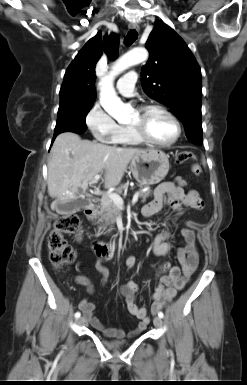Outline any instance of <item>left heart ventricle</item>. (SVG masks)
I'll return each instance as SVG.
<instances>
[{"label": "left heart ventricle", "mask_w": 247, "mask_h": 385, "mask_svg": "<svg viewBox=\"0 0 247 385\" xmlns=\"http://www.w3.org/2000/svg\"><path fill=\"white\" fill-rule=\"evenodd\" d=\"M130 125H140L147 136L157 142L170 141L176 132L171 119L160 111H151L142 119L136 112Z\"/></svg>", "instance_id": "obj_1"}]
</instances>
